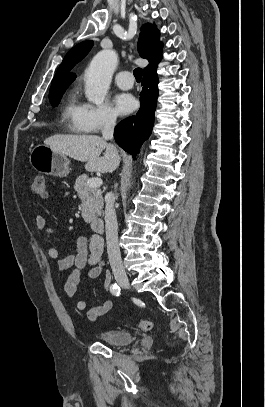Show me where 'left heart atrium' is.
I'll return each instance as SVG.
<instances>
[{
    "label": "left heart atrium",
    "mask_w": 265,
    "mask_h": 407,
    "mask_svg": "<svg viewBox=\"0 0 265 407\" xmlns=\"http://www.w3.org/2000/svg\"><path fill=\"white\" fill-rule=\"evenodd\" d=\"M114 104L122 115L129 114L136 108V100L126 93L118 94L114 99Z\"/></svg>",
    "instance_id": "39dd6f15"
}]
</instances>
